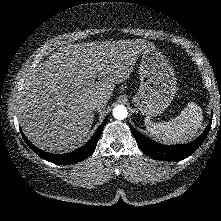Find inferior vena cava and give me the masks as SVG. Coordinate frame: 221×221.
<instances>
[{
	"label": "inferior vena cava",
	"instance_id": "1",
	"mask_svg": "<svg viewBox=\"0 0 221 221\" xmlns=\"http://www.w3.org/2000/svg\"><path fill=\"white\" fill-rule=\"evenodd\" d=\"M106 104H107V102H106L105 100H103V99H98V100H96V101L93 102V104H92V109H93L94 111L100 110V109L104 108V107L106 106Z\"/></svg>",
	"mask_w": 221,
	"mask_h": 221
}]
</instances>
